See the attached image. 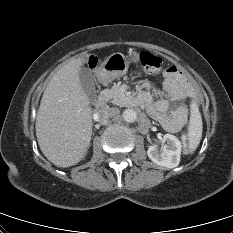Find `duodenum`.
<instances>
[{
  "label": "duodenum",
  "mask_w": 233,
  "mask_h": 233,
  "mask_svg": "<svg viewBox=\"0 0 233 233\" xmlns=\"http://www.w3.org/2000/svg\"><path fill=\"white\" fill-rule=\"evenodd\" d=\"M140 101V98L138 99ZM107 102V96L105 94H100L95 102V106L98 109L103 108L106 105Z\"/></svg>",
  "instance_id": "1"
}]
</instances>
